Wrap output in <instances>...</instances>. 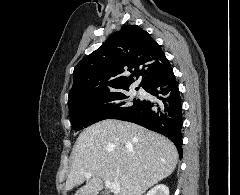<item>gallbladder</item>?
I'll use <instances>...</instances> for the list:
<instances>
[{"label":"gallbladder","mask_w":240,"mask_h":195,"mask_svg":"<svg viewBox=\"0 0 240 195\" xmlns=\"http://www.w3.org/2000/svg\"><path fill=\"white\" fill-rule=\"evenodd\" d=\"M103 195H114L110 190H103Z\"/></svg>","instance_id":"obj_1"}]
</instances>
